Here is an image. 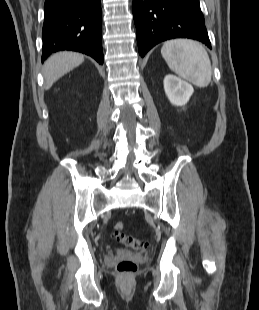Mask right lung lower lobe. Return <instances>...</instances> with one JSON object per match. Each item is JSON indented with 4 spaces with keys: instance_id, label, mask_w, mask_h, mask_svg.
Wrapping results in <instances>:
<instances>
[{
    "instance_id": "right-lung-lower-lobe-1",
    "label": "right lung lower lobe",
    "mask_w": 259,
    "mask_h": 310,
    "mask_svg": "<svg viewBox=\"0 0 259 310\" xmlns=\"http://www.w3.org/2000/svg\"><path fill=\"white\" fill-rule=\"evenodd\" d=\"M101 0H45L42 62L61 50L82 52L103 64Z\"/></svg>"
}]
</instances>
